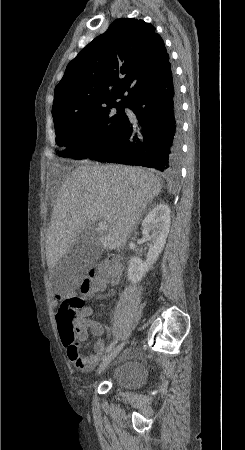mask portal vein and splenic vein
Here are the masks:
<instances>
[{
	"label": "portal vein and splenic vein",
	"instance_id": "portal-vein-and-splenic-vein-1",
	"mask_svg": "<svg viewBox=\"0 0 245 450\" xmlns=\"http://www.w3.org/2000/svg\"><path fill=\"white\" fill-rule=\"evenodd\" d=\"M98 230L105 232L108 230V223L106 221H100L98 223Z\"/></svg>",
	"mask_w": 245,
	"mask_h": 450
}]
</instances>
